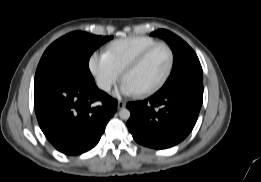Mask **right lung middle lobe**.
I'll list each match as a JSON object with an SVG mask.
<instances>
[{
    "label": "right lung middle lobe",
    "mask_w": 261,
    "mask_h": 182,
    "mask_svg": "<svg viewBox=\"0 0 261 182\" xmlns=\"http://www.w3.org/2000/svg\"><path fill=\"white\" fill-rule=\"evenodd\" d=\"M112 36H95L81 31L71 32L53 42L44 52L34 82L49 76L65 74L83 87L95 86L89 70L92 53Z\"/></svg>",
    "instance_id": "dd1d6c3e"
}]
</instances>
